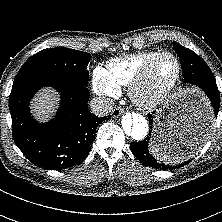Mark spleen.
Here are the masks:
<instances>
[{
  "mask_svg": "<svg viewBox=\"0 0 222 222\" xmlns=\"http://www.w3.org/2000/svg\"><path fill=\"white\" fill-rule=\"evenodd\" d=\"M149 148L156 159L167 164H177L183 162L187 157V155L184 153H175L169 150L167 146H162V144H157L154 141H151Z\"/></svg>",
  "mask_w": 222,
  "mask_h": 222,
  "instance_id": "3e777b00",
  "label": "spleen"
}]
</instances>
